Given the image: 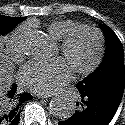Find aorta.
<instances>
[{
  "label": "aorta",
  "instance_id": "762f6f07",
  "mask_svg": "<svg viewBox=\"0 0 125 125\" xmlns=\"http://www.w3.org/2000/svg\"><path fill=\"white\" fill-rule=\"evenodd\" d=\"M53 42L43 32H35L29 38L28 53L31 57L39 60L48 59L53 53ZM50 112L60 118L66 119L71 117L75 111V103L68 96L54 97L50 104Z\"/></svg>",
  "mask_w": 125,
  "mask_h": 125
}]
</instances>
